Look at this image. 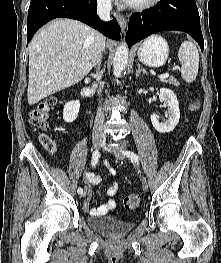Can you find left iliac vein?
<instances>
[{
	"instance_id": "obj_1",
	"label": "left iliac vein",
	"mask_w": 221,
	"mask_h": 263,
	"mask_svg": "<svg viewBox=\"0 0 221 263\" xmlns=\"http://www.w3.org/2000/svg\"><path fill=\"white\" fill-rule=\"evenodd\" d=\"M102 147L105 149V150H108L110 152H113L114 155L119 158V159H123L124 156L121 152H119V149H116V150H112L109 145L104 141V143L102 144ZM142 188L144 191H147L148 190V182H147V179L145 177H142Z\"/></svg>"
}]
</instances>
